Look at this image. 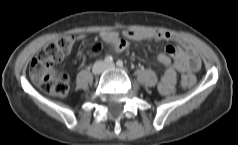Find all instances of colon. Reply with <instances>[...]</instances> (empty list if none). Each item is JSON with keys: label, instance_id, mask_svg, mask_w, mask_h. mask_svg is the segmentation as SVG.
<instances>
[{"label": "colon", "instance_id": "5ec220e1", "mask_svg": "<svg viewBox=\"0 0 238 145\" xmlns=\"http://www.w3.org/2000/svg\"><path fill=\"white\" fill-rule=\"evenodd\" d=\"M73 39L61 37L49 42L32 60L29 72L37 85L46 93L57 97H64L69 91V77L65 72H57L54 66L58 64L70 51ZM102 49L101 43H95L91 47L93 54ZM194 83L192 75L182 77L185 88Z\"/></svg>", "mask_w": 238, "mask_h": 145}]
</instances>
